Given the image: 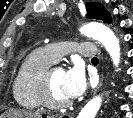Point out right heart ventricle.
<instances>
[{
	"mask_svg": "<svg viewBox=\"0 0 133 118\" xmlns=\"http://www.w3.org/2000/svg\"><path fill=\"white\" fill-rule=\"evenodd\" d=\"M54 61L43 49L31 52L20 66L12 85L15 103L28 111L43 107L40 99V80Z\"/></svg>",
	"mask_w": 133,
	"mask_h": 118,
	"instance_id": "e07e8e85",
	"label": "right heart ventricle"
}]
</instances>
